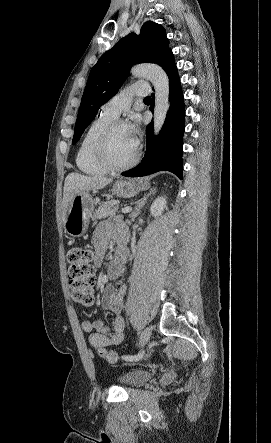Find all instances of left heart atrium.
<instances>
[{"mask_svg": "<svg viewBox=\"0 0 271 443\" xmlns=\"http://www.w3.org/2000/svg\"><path fill=\"white\" fill-rule=\"evenodd\" d=\"M131 128H132V130H133V133H134V136H135L136 140L138 141V139H137V135H136L137 130H136L135 125H132Z\"/></svg>", "mask_w": 271, "mask_h": 443, "instance_id": "1", "label": "left heart atrium"}]
</instances>
